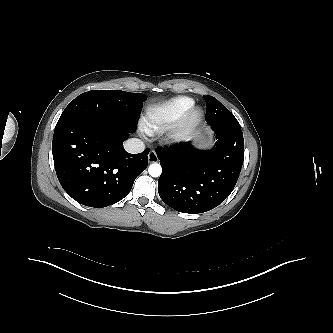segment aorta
<instances>
[{
    "mask_svg": "<svg viewBox=\"0 0 333 333\" xmlns=\"http://www.w3.org/2000/svg\"><path fill=\"white\" fill-rule=\"evenodd\" d=\"M149 175L152 177H158L162 173V168L160 164L154 163L151 164L148 168Z\"/></svg>",
    "mask_w": 333,
    "mask_h": 333,
    "instance_id": "obj_1",
    "label": "aorta"
}]
</instances>
